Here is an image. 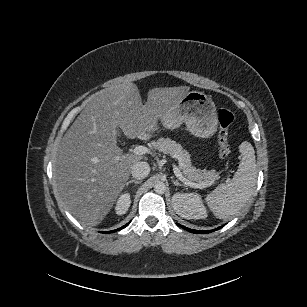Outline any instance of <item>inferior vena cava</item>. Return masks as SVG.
Segmentation results:
<instances>
[{"mask_svg":"<svg viewBox=\"0 0 307 307\" xmlns=\"http://www.w3.org/2000/svg\"><path fill=\"white\" fill-rule=\"evenodd\" d=\"M149 173L150 166L147 162L138 161L132 166L131 169L132 176L137 180L144 179Z\"/></svg>","mask_w":307,"mask_h":307,"instance_id":"inferior-vena-cava-1","label":"inferior vena cava"}]
</instances>
